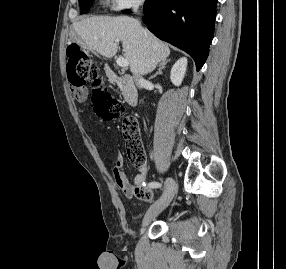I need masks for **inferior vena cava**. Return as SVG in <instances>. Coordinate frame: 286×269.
Segmentation results:
<instances>
[{
    "instance_id": "obj_1",
    "label": "inferior vena cava",
    "mask_w": 286,
    "mask_h": 269,
    "mask_svg": "<svg viewBox=\"0 0 286 269\" xmlns=\"http://www.w3.org/2000/svg\"><path fill=\"white\" fill-rule=\"evenodd\" d=\"M136 85L141 88L145 80L142 77H136L135 79Z\"/></svg>"
}]
</instances>
